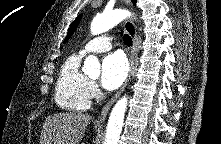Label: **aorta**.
<instances>
[{"label": "aorta", "instance_id": "762f6f07", "mask_svg": "<svg viewBox=\"0 0 221 144\" xmlns=\"http://www.w3.org/2000/svg\"><path fill=\"white\" fill-rule=\"evenodd\" d=\"M128 16H130V13L124 9L105 11L92 20L90 31L93 35L102 34L119 24ZM83 72L90 77H97L100 75V63L96 56L89 55L86 57ZM127 103V97L123 96L114 105L108 120L104 144H118Z\"/></svg>", "mask_w": 221, "mask_h": 144}]
</instances>
